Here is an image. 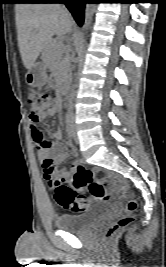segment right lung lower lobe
<instances>
[{
	"label": "right lung lower lobe",
	"instance_id": "98d812e1",
	"mask_svg": "<svg viewBox=\"0 0 166 267\" xmlns=\"http://www.w3.org/2000/svg\"><path fill=\"white\" fill-rule=\"evenodd\" d=\"M86 0H25L21 3H64L72 13L78 25L84 22V6Z\"/></svg>",
	"mask_w": 166,
	"mask_h": 267
}]
</instances>
